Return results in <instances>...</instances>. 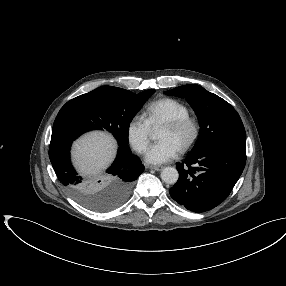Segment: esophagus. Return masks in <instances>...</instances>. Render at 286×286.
<instances>
[{
  "label": "esophagus",
  "mask_w": 286,
  "mask_h": 286,
  "mask_svg": "<svg viewBox=\"0 0 286 286\" xmlns=\"http://www.w3.org/2000/svg\"><path fill=\"white\" fill-rule=\"evenodd\" d=\"M149 169L155 171H161L163 169V166H149Z\"/></svg>",
  "instance_id": "34e87169"
}]
</instances>
